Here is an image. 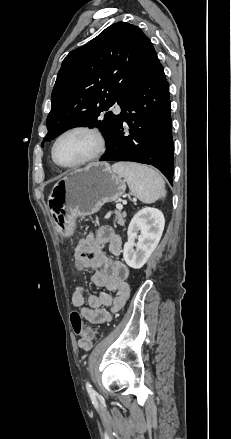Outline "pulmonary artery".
Listing matches in <instances>:
<instances>
[{"instance_id":"e3ab8cb5","label":"pulmonary artery","mask_w":231,"mask_h":439,"mask_svg":"<svg viewBox=\"0 0 231 439\" xmlns=\"http://www.w3.org/2000/svg\"><path fill=\"white\" fill-rule=\"evenodd\" d=\"M113 111H114L115 114L120 113V107H119L117 104L114 105V107H113Z\"/></svg>"}]
</instances>
